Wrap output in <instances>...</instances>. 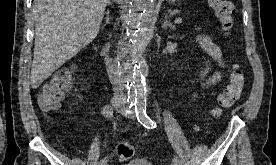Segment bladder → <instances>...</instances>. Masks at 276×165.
I'll list each match as a JSON object with an SVG mask.
<instances>
[{
	"label": "bladder",
	"mask_w": 276,
	"mask_h": 165,
	"mask_svg": "<svg viewBox=\"0 0 276 165\" xmlns=\"http://www.w3.org/2000/svg\"><path fill=\"white\" fill-rule=\"evenodd\" d=\"M125 165H152V164L145 159H133L128 163H126Z\"/></svg>",
	"instance_id": "1"
}]
</instances>
